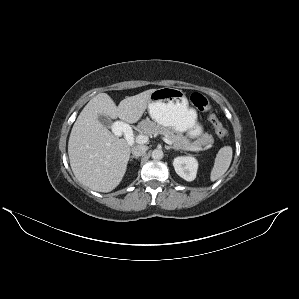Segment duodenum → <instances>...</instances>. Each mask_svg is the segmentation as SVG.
I'll return each mask as SVG.
<instances>
[{"label": "duodenum", "instance_id": "410a0bca", "mask_svg": "<svg viewBox=\"0 0 299 299\" xmlns=\"http://www.w3.org/2000/svg\"><path fill=\"white\" fill-rule=\"evenodd\" d=\"M127 141L129 142V144H134V142H133V136H132L131 133L128 134Z\"/></svg>", "mask_w": 299, "mask_h": 299}]
</instances>
